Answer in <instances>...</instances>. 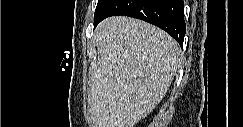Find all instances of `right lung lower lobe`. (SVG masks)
I'll use <instances>...</instances> for the list:
<instances>
[{"label":"right lung lower lobe","mask_w":243,"mask_h":127,"mask_svg":"<svg viewBox=\"0 0 243 127\" xmlns=\"http://www.w3.org/2000/svg\"><path fill=\"white\" fill-rule=\"evenodd\" d=\"M114 15H125L149 22L168 32L183 46L186 32L183 0H108L94 15V26Z\"/></svg>","instance_id":"98d812e1"}]
</instances>
